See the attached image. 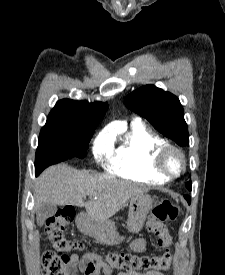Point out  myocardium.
I'll return each mask as SVG.
<instances>
[{"label": "myocardium", "instance_id": "obj_1", "mask_svg": "<svg viewBox=\"0 0 225 275\" xmlns=\"http://www.w3.org/2000/svg\"><path fill=\"white\" fill-rule=\"evenodd\" d=\"M172 155H176L181 162L179 170H173L169 165V159ZM187 166V161L182 150L174 145L166 144L162 146L154 156V167L163 176L169 178H176L181 176Z\"/></svg>", "mask_w": 225, "mask_h": 275}]
</instances>
